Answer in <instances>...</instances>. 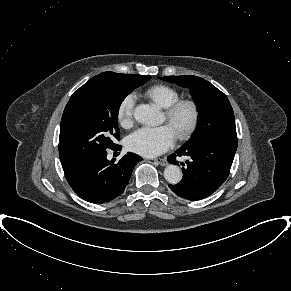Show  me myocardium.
Listing matches in <instances>:
<instances>
[{
	"label": "myocardium",
	"mask_w": 291,
	"mask_h": 291,
	"mask_svg": "<svg viewBox=\"0 0 291 291\" xmlns=\"http://www.w3.org/2000/svg\"><path fill=\"white\" fill-rule=\"evenodd\" d=\"M185 110L189 112V120L187 125L176 134L180 141L189 139L196 131L201 114L199 104L193 99H181L166 108L164 112L167 123L172 124Z\"/></svg>",
	"instance_id": "obj_1"
}]
</instances>
